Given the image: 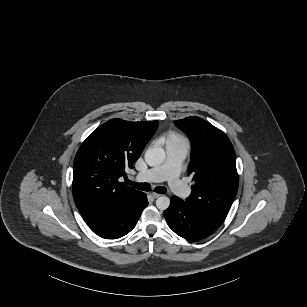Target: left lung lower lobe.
Here are the masks:
<instances>
[{"instance_id": "left-lung-lower-lobe-1", "label": "left lung lower lobe", "mask_w": 307, "mask_h": 307, "mask_svg": "<svg viewBox=\"0 0 307 307\" xmlns=\"http://www.w3.org/2000/svg\"><path fill=\"white\" fill-rule=\"evenodd\" d=\"M168 209L163 213L169 227L179 236L192 241L212 234L221 224L191 208L186 201L172 196Z\"/></svg>"}]
</instances>
